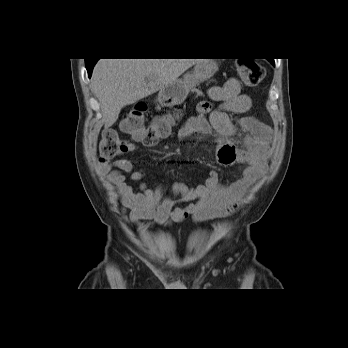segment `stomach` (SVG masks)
<instances>
[{
    "label": "stomach",
    "instance_id": "obj_1",
    "mask_svg": "<svg viewBox=\"0 0 348 348\" xmlns=\"http://www.w3.org/2000/svg\"><path fill=\"white\" fill-rule=\"evenodd\" d=\"M218 67L212 59H202L194 66L193 70L183 75V78L166 85L162 88L157 97V101L162 106L172 107L182 103L190 90L200 83L210 79Z\"/></svg>",
    "mask_w": 348,
    "mask_h": 348
}]
</instances>
